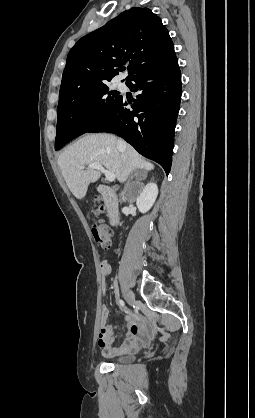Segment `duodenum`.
<instances>
[{
	"label": "duodenum",
	"mask_w": 255,
	"mask_h": 418,
	"mask_svg": "<svg viewBox=\"0 0 255 418\" xmlns=\"http://www.w3.org/2000/svg\"><path fill=\"white\" fill-rule=\"evenodd\" d=\"M99 192L106 200L109 214H110V222L113 226H117L119 224V213H118V199L114 191L105 185H101L99 187Z\"/></svg>",
	"instance_id": "duodenum-1"
}]
</instances>
